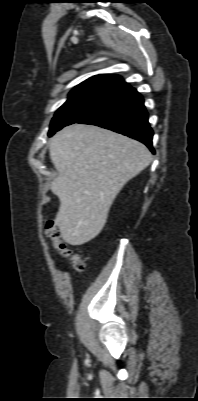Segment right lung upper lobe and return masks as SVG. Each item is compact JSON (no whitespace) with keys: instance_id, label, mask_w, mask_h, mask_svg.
Masks as SVG:
<instances>
[{"instance_id":"1","label":"right lung upper lobe","mask_w":198,"mask_h":401,"mask_svg":"<svg viewBox=\"0 0 198 401\" xmlns=\"http://www.w3.org/2000/svg\"><path fill=\"white\" fill-rule=\"evenodd\" d=\"M122 82L123 80L121 79V77L117 75H110V74L96 75L77 85L75 88L72 89L71 92H76L81 90L111 91Z\"/></svg>"}]
</instances>
